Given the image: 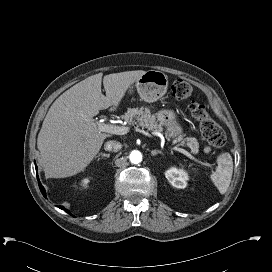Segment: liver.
I'll return each mask as SVG.
<instances>
[{"label":"liver","mask_w":272,"mask_h":272,"mask_svg":"<svg viewBox=\"0 0 272 272\" xmlns=\"http://www.w3.org/2000/svg\"><path fill=\"white\" fill-rule=\"evenodd\" d=\"M145 71L102 73L75 84L51 105L38 134L39 165L47 178H64L83 171L110 134L98 129L93 117L109 107L114 111L128 88Z\"/></svg>","instance_id":"6515ba94"}]
</instances>
